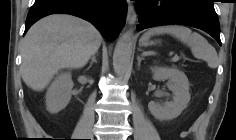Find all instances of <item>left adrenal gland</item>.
<instances>
[{"mask_svg":"<svg viewBox=\"0 0 236 140\" xmlns=\"http://www.w3.org/2000/svg\"><path fill=\"white\" fill-rule=\"evenodd\" d=\"M144 59V57H137V61H138V67H140L141 61Z\"/></svg>","mask_w":236,"mask_h":140,"instance_id":"obj_1","label":"left adrenal gland"}]
</instances>
